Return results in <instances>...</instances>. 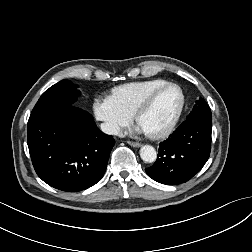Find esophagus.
Wrapping results in <instances>:
<instances>
[{"label":"esophagus","instance_id":"1","mask_svg":"<svg viewBox=\"0 0 252 252\" xmlns=\"http://www.w3.org/2000/svg\"><path fill=\"white\" fill-rule=\"evenodd\" d=\"M127 143L133 147H140L141 144L139 142L127 141Z\"/></svg>","mask_w":252,"mask_h":252}]
</instances>
